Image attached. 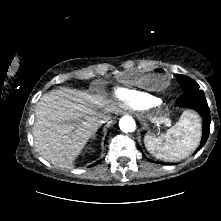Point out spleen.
Here are the masks:
<instances>
[{
    "label": "spleen",
    "instance_id": "obj_1",
    "mask_svg": "<svg viewBox=\"0 0 221 221\" xmlns=\"http://www.w3.org/2000/svg\"><path fill=\"white\" fill-rule=\"evenodd\" d=\"M201 137V122L198 115L190 110L182 113L179 121L160 136L146 135L147 150L156 158L177 161L186 158L196 149Z\"/></svg>",
    "mask_w": 221,
    "mask_h": 221
}]
</instances>
